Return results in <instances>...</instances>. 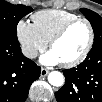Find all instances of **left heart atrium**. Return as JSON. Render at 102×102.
<instances>
[{
  "label": "left heart atrium",
  "instance_id": "left-heart-atrium-1",
  "mask_svg": "<svg viewBox=\"0 0 102 102\" xmlns=\"http://www.w3.org/2000/svg\"><path fill=\"white\" fill-rule=\"evenodd\" d=\"M40 62L44 65H54L59 63L60 61L52 51H49L41 56Z\"/></svg>",
  "mask_w": 102,
  "mask_h": 102
}]
</instances>
